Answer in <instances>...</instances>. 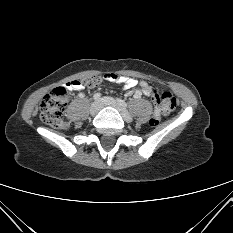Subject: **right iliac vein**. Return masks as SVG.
<instances>
[{
  "label": "right iliac vein",
  "mask_w": 233,
  "mask_h": 233,
  "mask_svg": "<svg viewBox=\"0 0 233 233\" xmlns=\"http://www.w3.org/2000/svg\"><path fill=\"white\" fill-rule=\"evenodd\" d=\"M101 108H102V105H101L100 101L93 102L91 104V107H90L91 115L97 114L100 111Z\"/></svg>",
  "instance_id": "obj_1"
}]
</instances>
